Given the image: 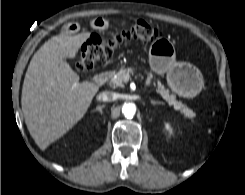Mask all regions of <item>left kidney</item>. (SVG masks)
<instances>
[{
    "instance_id": "1",
    "label": "left kidney",
    "mask_w": 245,
    "mask_h": 195,
    "mask_svg": "<svg viewBox=\"0 0 245 195\" xmlns=\"http://www.w3.org/2000/svg\"><path fill=\"white\" fill-rule=\"evenodd\" d=\"M165 128L166 130L169 132V134H172V128L170 127V125L168 123L165 124Z\"/></svg>"
}]
</instances>
